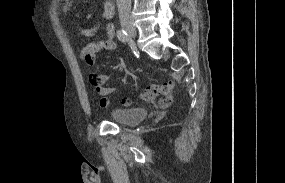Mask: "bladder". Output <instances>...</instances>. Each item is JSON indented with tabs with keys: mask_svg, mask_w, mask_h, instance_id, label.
<instances>
[{
	"mask_svg": "<svg viewBox=\"0 0 285 183\" xmlns=\"http://www.w3.org/2000/svg\"><path fill=\"white\" fill-rule=\"evenodd\" d=\"M108 115L117 123L134 125L146 118L147 111L144 108L116 107L111 109Z\"/></svg>",
	"mask_w": 285,
	"mask_h": 183,
	"instance_id": "31cf9c89",
	"label": "bladder"
}]
</instances>
